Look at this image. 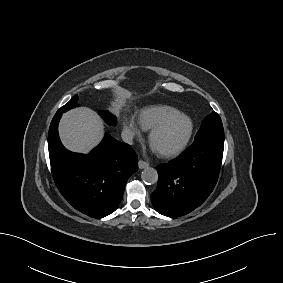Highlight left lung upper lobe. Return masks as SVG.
Here are the masks:
<instances>
[{"mask_svg": "<svg viewBox=\"0 0 283 283\" xmlns=\"http://www.w3.org/2000/svg\"><path fill=\"white\" fill-rule=\"evenodd\" d=\"M199 138H211L224 142V129L220 116L216 112H212L205 117L195 140Z\"/></svg>", "mask_w": 283, "mask_h": 283, "instance_id": "1", "label": "left lung upper lobe"}]
</instances>
